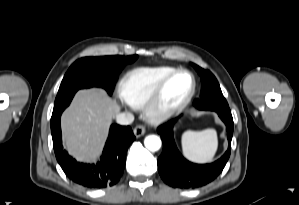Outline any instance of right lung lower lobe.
<instances>
[{"mask_svg":"<svg viewBox=\"0 0 299 205\" xmlns=\"http://www.w3.org/2000/svg\"><path fill=\"white\" fill-rule=\"evenodd\" d=\"M70 102L54 109L51 117L53 148L58 163L68 178L84 187L101 189L116 184L123 174L127 149L135 140L131 128L112 124L101 161L96 165L77 162L62 147L60 117Z\"/></svg>","mask_w":299,"mask_h":205,"instance_id":"right-lung-lower-lobe-1","label":"right lung lower lobe"}]
</instances>
